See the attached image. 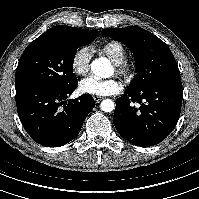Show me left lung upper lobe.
<instances>
[{"mask_svg": "<svg viewBox=\"0 0 199 199\" xmlns=\"http://www.w3.org/2000/svg\"><path fill=\"white\" fill-rule=\"evenodd\" d=\"M102 34L120 41L134 54L137 74L128 90L138 91L155 81L180 76L169 47L151 32L137 26H128L107 28Z\"/></svg>", "mask_w": 199, "mask_h": 199, "instance_id": "obj_1", "label": "left lung upper lobe"}]
</instances>
